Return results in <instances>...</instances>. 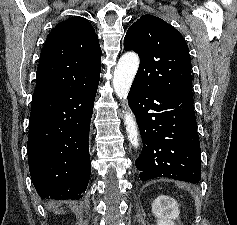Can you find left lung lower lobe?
<instances>
[{"label":"left lung lower lobe","instance_id":"obj_1","mask_svg":"<svg viewBox=\"0 0 237 225\" xmlns=\"http://www.w3.org/2000/svg\"><path fill=\"white\" fill-rule=\"evenodd\" d=\"M128 100L143 142L135 162L140 179L168 177L199 182L201 149L193 97L144 91L133 83Z\"/></svg>","mask_w":237,"mask_h":225}]
</instances>
